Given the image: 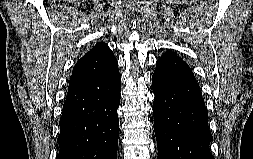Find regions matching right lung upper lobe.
<instances>
[{"label":"right lung upper lobe","instance_id":"cb5924a9","mask_svg":"<svg viewBox=\"0 0 253 159\" xmlns=\"http://www.w3.org/2000/svg\"><path fill=\"white\" fill-rule=\"evenodd\" d=\"M115 63L117 60L108 45L98 42L75 64L68 89L105 72Z\"/></svg>","mask_w":253,"mask_h":159}]
</instances>
